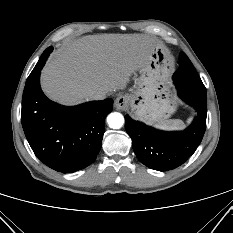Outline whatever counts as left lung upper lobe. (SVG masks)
Segmentation results:
<instances>
[{
  "instance_id": "left-lung-upper-lobe-1",
  "label": "left lung upper lobe",
  "mask_w": 233,
  "mask_h": 233,
  "mask_svg": "<svg viewBox=\"0 0 233 233\" xmlns=\"http://www.w3.org/2000/svg\"><path fill=\"white\" fill-rule=\"evenodd\" d=\"M173 78L189 86L205 88L190 60L184 69H178L174 73Z\"/></svg>"
}]
</instances>
